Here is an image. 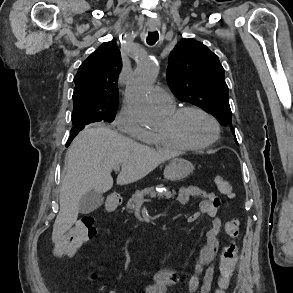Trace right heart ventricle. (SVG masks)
Listing matches in <instances>:
<instances>
[{
    "instance_id": "e07e8e85",
    "label": "right heart ventricle",
    "mask_w": 293,
    "mask_h": 293,
    "mask_svg": "<svg viewBox=\"0 0 293 293\" xmlns=\"http://www.w3.org/2000/svg\"><path fill=\"white\" fill-rule=\"evenodd\" d=\"M175 110L174 107L163 110L165 114L169 115ZM148 145L167 151H181L186 149L182 145L178 144L177 142L173 141L169 137H167L162 131L159 132H151V136L148 141H146Z\"/></svg>"
}]
</instances>
